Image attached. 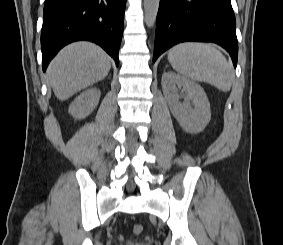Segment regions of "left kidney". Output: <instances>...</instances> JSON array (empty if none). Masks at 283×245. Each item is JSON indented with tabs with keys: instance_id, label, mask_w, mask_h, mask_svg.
I'll return each instance as SVG.
<instances>
[{
	"instance_id": "1",
	"label": "left kidney",
	"mask_w": 283,
	"mask_h": 245,
	"mask_svg": "<svg viewBox=\"0 0 283 245\" xmlns=\"http://www.w3.org/2000/svg\"><path fill=\"white\" fill-rule=\"evenodd\" d=\"M161 84L171 113L180 126L191 134L203 131L211 119L210 103L203 88L172 71L162 75ZM177 86L182 88L183 103L179 101Z\"/></svg>"
}]
</instances>
